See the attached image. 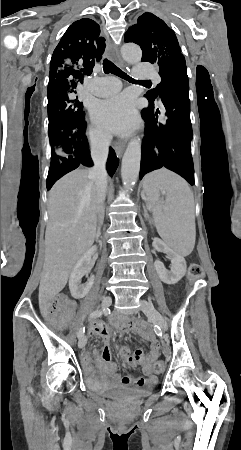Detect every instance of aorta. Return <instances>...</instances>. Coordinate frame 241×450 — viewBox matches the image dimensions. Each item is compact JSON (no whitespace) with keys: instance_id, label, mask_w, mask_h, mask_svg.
Returning a JSON list of instances; mask_svg holds the SVG:
<instances>
[{"instance_id":"aorta-1","label":"aorta","mask_w":241,"mask_h":450,"mask_svg":"<svg viewBox=\"0 0 241 450\" xmlns=\"http://www.w3.org/2000/svg\"><path fill=\"white\" fill-rule=\"evenodd\" d=\"M123 58L129 63H137L142 58V51L135 44H124L121 48ZM141 142L139 138H133L128 143L122 158L121 178L124 187L132 190L137 182L140 172Z\"/></svg>"}]
</instances>
